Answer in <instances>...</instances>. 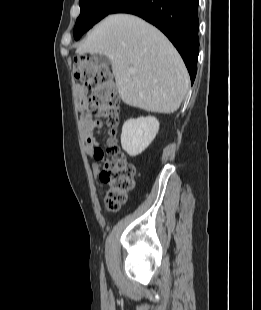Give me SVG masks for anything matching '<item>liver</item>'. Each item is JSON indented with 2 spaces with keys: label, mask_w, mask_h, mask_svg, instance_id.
Listing matches in <instances>:
<instances>
[{
  "label": "liver",
  "mask_w": 261,
  "mask_h": 310,
  "mask_svg": "<svg viewBox=\"0 0 261 310\" xmlns=\"http://www.w3.org/2000/svg\"><path fill=\"white\" fill-rule=\"evenodd\" d=\"M84 53L110 59L119 96L129 106L170 114L188 90V71L177 50L157 28L134 15L102 20L76 50Z\"/></svg>",
  "instance_id": "6515ba94"
}]
</instances>
